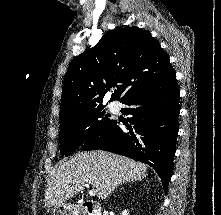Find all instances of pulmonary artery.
<instances>
[{"label": "pulmonary artery", "instance_id": "e3ab8cb5", "mask_svg": "<svg viewBox=\"0 0 221 215\" xmlns=\"http://www.w3.org/2000/svg\"><path fill=\"white\" fill-rule=\"evenodd\" d=\"M110 108H111L112 110H115V109H116V105H115L114 103H112V104H110Z\"/></svg>", "mask_w": 221, "mask_h": 215}]
</instances>
